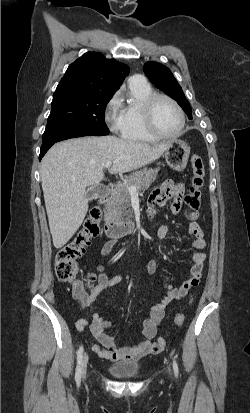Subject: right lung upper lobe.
Returning <instances> with one entry per match:
<instances>
[{
  "mask_svg": "<svg viewBox=\"0 0 250 413\" xmlns=\"http://www.w3.org/2000/svg\"><path fill=\"white\" fill-rule=\"evenodd\" d=\"M129 67L101 53L87 52L69 65L57 88L77 86L83 89L115 92L122 84Z\"/></svg>",
  "mask_w": 250,
  "mask_h": 413,
  "instance_id": "cb5924a9",
  "label": "right lung upper lobe"
}]
</instances>
